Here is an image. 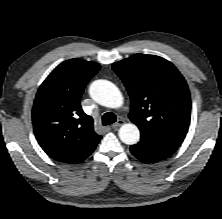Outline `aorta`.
Listing matches in <instances>:
<instances>
[{
  "mask_svg": "<svg viewBox=\"0 0 222 219\" xmlns=\"http://www.w3.org/2000/svg\"><path fill=\"white\" fill-rule=\"evenodd\" d=\"M90 96L100 105L118 108L123 104V96L115 84L108 80H96L89 88ZM120 140L128 145L136 144L140 139V131L135 124L127 123L119 129Z\"/></svg>",
  "mask_w": 222,
  "mask_h": 219,
  "instance_id": "762f6f07",
  "label": "aorta"
}]
</instances>
